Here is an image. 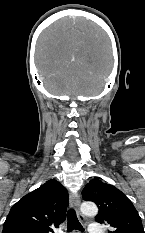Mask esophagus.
<instances>
[{
    "label": "esophagus",
    "instance_id": "obj_1",
    "mask_svg": "<svg viewBox=\"0 0 145 233\" xmlns=\"http://www.w3.org/2000/svg\"><path fill=\"white\" fill-rule=\"evenodd\" d=\"M70 203L72 207L76 210V213L81 221H85L84 215L81 213L80 210V199L77 194L71 193L70 194Z\"/></svg>",
    "mask_w": 145,
    "mask_h": 233
}]
</instances>
